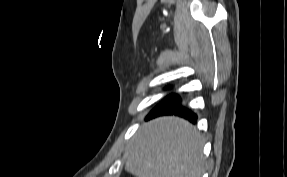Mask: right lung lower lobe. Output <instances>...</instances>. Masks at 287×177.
Wrapping results in <instances>:
<instances>
[{
  "label": "right lung lower lobe",
  "mask_w": 287,
  "mask_h": 177,
  "mask_svg": "<svg viewBox=\"0 0 287 177\" xmlns=\"http://www.w3.org/2000/svg\"><path fill=\"white\" fill-rule=\"evenodd\" d=\"M178 115L195 123L196 114L186 107L181 106V99L178 94L172 92L166 95L163 100L149 113L146 119L160 115Z\"/></svg>",
  "instance_id": "98d812e1"
}]
</instances>
